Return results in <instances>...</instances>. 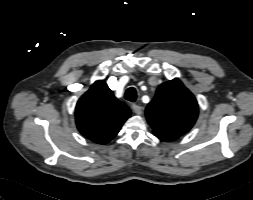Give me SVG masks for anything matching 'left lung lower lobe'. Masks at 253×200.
<instances>
[{
  "label": "left lung lower lobe",
  "mask_w": 253,
  "mask_h": 200,
  "mask_svg": "<svg viewBox=\"0 0 253 200\" xmlns=\"http://www.w3.org/2000/svg\"><path fill=\"white\" fill-rule=\"evenodd\" d=\"M158 138L164 141H172L175 140L176 137L168 136V135H156Z\"/></svg>",
  "instance_id": "left-lung-lower-lobe-1"
}]
</instances>
